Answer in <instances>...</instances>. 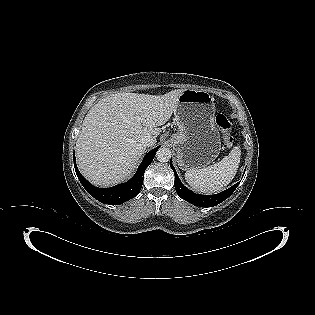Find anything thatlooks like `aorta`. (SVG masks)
Here are the masks:
<instances>
[{"mask_svg": "<svg viewBox=\"0 0 315 315\" xmlns=\"http://www.w3.org/2000/svg\"><path fill=\"white\" fill-rule=\"evenodd\" d=\"M156 158L160 162H168L171 158V151L167 147H162L157 151Z\"/></svg>", "mask_w": 315, "mask_h": 315, "instance_id": "obj_1", "label": "aorta"}]
</instances>
